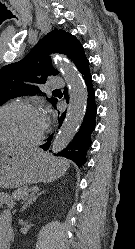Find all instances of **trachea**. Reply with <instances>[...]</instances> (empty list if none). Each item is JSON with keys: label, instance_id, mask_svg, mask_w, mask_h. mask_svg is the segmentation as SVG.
<instances>
[{"label": "trachea", "instance_id": "1", "mask_svg": "<svg viewBox=\"0 0 135 249\" xmlns=\"http://www.w3.org/2000/svg\"><path fill=\"white\" fill-rule=\"evenodd\" d=\"M54 91H60L59 89H56V90H54Z\"/></svg>", "mask_w": 135, "mask_h": 249}]
</instances>
